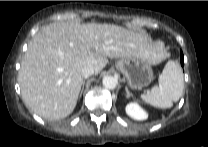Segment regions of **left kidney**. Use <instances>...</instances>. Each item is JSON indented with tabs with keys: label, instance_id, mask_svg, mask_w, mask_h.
<instances>
[{
	"label": "left kidney",
	"instance_id": "left-kidney-1",
	"mask_svg": "<svg viewBox=\"0 0 208 147\" xmlns=\"http://www.w3.org/2000/svg\"><path fill=\"white\" fill-rule=\"evenodd\" d=\"M125 110L127 115L135 120L141 121L148 117L147 113L137 103H129Z\"/></svg>",
	"mask_w": 208,
	"mask_h": 147
}]
</instances>
